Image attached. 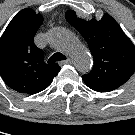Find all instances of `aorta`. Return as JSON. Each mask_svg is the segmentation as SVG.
Here are the masks:
<instances>
[{
	"label": "aorta",
	"instance_id": "1",
	"mask_svg": "<svg viewBox=\"0 0 135 135\" xmlns=\"http://www.w3.org/2000/svg\"><path fill=\"white\" fill-rule=\"evenodd\" d=\"M49 42L55 49L67 53L80 71L88 72L91 69L90 53L68 29L63 27L52 29L49 34Z\"/></svg>",
	"mask_w": 135,
	"mask_h": 135
}]
</instances>
